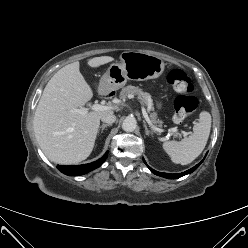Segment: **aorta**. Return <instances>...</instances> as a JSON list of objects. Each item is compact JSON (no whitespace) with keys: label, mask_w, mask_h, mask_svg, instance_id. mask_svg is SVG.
I'll list each match as a JSON object with an SVG mask.
<instances>
[{"label":"aorta","mask_w":248,"mask_h":248,"mask_svg":"<svg viewBox=\"0 0 248 248\" xmlns=\"http://www.w3.org/2000/svg\"><path fill=\"white\" fill-rule=\"evenodd\" d=\"M137 127V121L133 117H126L122 123V129L127 132H133Z\"/></svg>","instance_id":"762f6f07"}]
</instances>
